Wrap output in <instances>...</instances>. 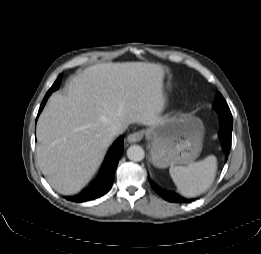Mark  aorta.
I'll return each instance as SVG.
<instances>
[{
  "label": "aorta",
  "mask_w": 261,
  "mask_h": 254,
  "mask_svg": "<svg viewBox=\"0 0 261 254\" xmlns=\"http://www.w3.org/2000/svg\"><path fill=\"white\" fill-rule=\"evenodd\" d=\"M144 150L139 145H132L127 149V157L129 160L139 162L144 158Z\"/></svg>",
  "instance_id": "1"
}]
</instances>
